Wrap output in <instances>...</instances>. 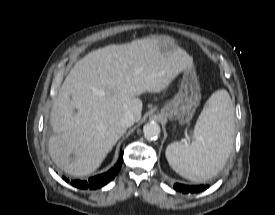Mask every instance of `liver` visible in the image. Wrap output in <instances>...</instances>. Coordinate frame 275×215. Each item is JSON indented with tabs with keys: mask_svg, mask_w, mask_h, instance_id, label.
Returning <instances> with one entry per match:
<instances>
[{
	"mask_svg": "<svg viewBox=\"0 0 275 215\" xmlns=\"http://www.w3.org/2000/svg\"><path fill=\"white\" fill-rule=\"evenodd\" d=\"M193 66L181 48L161 52L156 37L88 53L71 69L52 106L48 149L53 162L73 176L94 172L126 132L119 124L122 116L130 111L136 122L141 119L139 96L165 90Z\"/></svg>",
	"mask_w": 275,
	"mask_h": 215,
	"instance_id": "6515ba94",
	"label": "liver"
}]
</instances>
